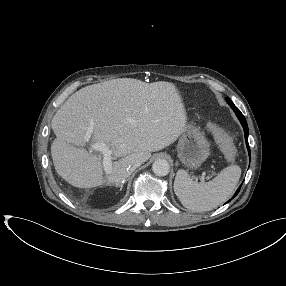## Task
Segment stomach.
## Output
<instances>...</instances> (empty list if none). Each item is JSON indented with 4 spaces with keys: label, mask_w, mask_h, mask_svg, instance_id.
I'll use <instances>...</instances> for the list:
<instances>
[{
    "label": "stomach",
    "mask_w": 286,
    "mask_h": 286,
    "mask_svg": "<svg viewBox=\"0 0 286 286\" xmlns=\"http://www.w3.org/2000/svg\"><path fill=\"white\" fill-rule=\"evenodd\" d=\"M178 157L188 168L197 169L209 156V143L192 124L186 125L178 142Z\"/></svg>",
    "instance_id": "stomach-1"
}]
</instances>
